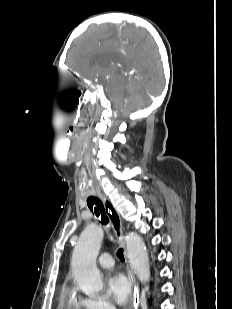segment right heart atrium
I'll use <instances>...</instances> for the list:
<instances>
[{
  "instance_id": "d8ad5b80",
  "label": "right heart atrium",
  "mask_w": 232,
  "mask_h": 309,
  "mask_svg": "<svg viewBox=\"0 0 232 309\" xmlns=\"http://www.w3.org/2000/svg\"><path fill=\"white\" fill-rule=\"evenodd\" d=\"M77 299L82 309H115L111 302L102 297Z\"/></svg>"
}]
</instances>
